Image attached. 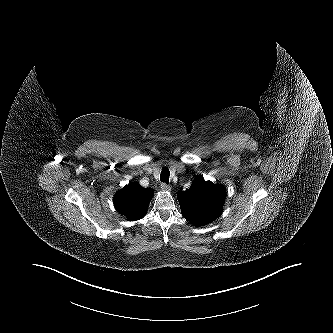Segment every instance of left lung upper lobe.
<instances>
[{
    "label": "left lung upper lobe",
    "mask_w": 333,
    "mask_h": 333,
    "mask_svg": "<svg viewBox=\"0 0 333 333\" xmlns=\"http://www.w3.org/2000/svg\"><path fill=\"white\" fill-rule=\"evenodd\" d=\"M182 215L195 226L213 222L222 212L226 188L198 177L186 191L177 194Z\"/></svg>",
    "instance_id": "obj_1"
}]
</instances>
